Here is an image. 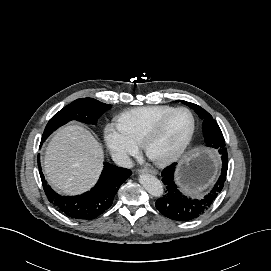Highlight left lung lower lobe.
<instances>
[{
    "label": "left lung lower lobe",
    "instance_id": "0a47b994",
    "mask_svg": "<svg viewBox=\"0 0 271 271\" xmlns=\"http://www.w3.org/2000/svg\"><path fill=\"white\" fill-rule=\"evenodd\" d=\"M222 159L221 175L211 192L200 200L190 199L184 196L174 182L176 163L166 167L162 173V181L165 185V195L156 201V208L166 217L175 221H190L204 214L213 204L221 192L228 169V155L226 148L218 150Z\"/></svg>",
    "mask_w": 271,
    "mask_h": 271
}]
</instances>
